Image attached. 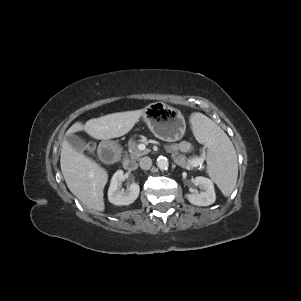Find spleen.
Masks as SVG:
<instances>
[{"label":"spleen","instance_id":"1","mask_svg":"<svg viewBox=\"0 0 301 301\" xmlns=\"http://www.w3.org/2000/svg\"><path fill=\"white\" fill-rule=\"evenodd\" d=\"M190 122L198 141L208 148V175L223 195L229 196L238 177L237 156L231 140L216 123L201 113H193Z\"/></svg>","mask_w":301,"mask_h":301}]
</instances>
